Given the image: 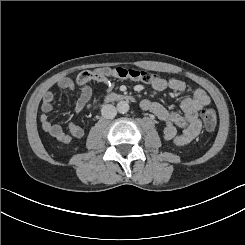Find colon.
<instances>
[{"label": "colon", "instance_id": "5ec220e1", "mask_svg": "<svg viewBox=\"0 0 245 245\" xmlns=\"http://www.w3.org/2000/svg\"><path fill=\"white\" fill-rule=\"evenodd\" d=\"M111 76L118 79L133 80L142 83H152L156 77L152 73L144 70L130 69V68H115L111 70ZM97 77V75H96ZM91 80L87 73H81L78 76V82L85 84ZM202 123L207 131H213L217 125V116L213 109H205L201 114Z\"/></svg>", "mask_w": 245, "mask_h": 245}]
</instances>
